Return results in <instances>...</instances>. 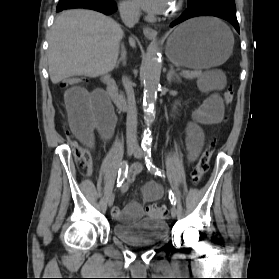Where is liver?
I'll return each mask as SVG.
<instances>
[{
  "label": "liver",
  "mask_w": 279,
  "mask_h": 279,
  "mask_svg": "<svg viewBox=\"0 0 279 279\" xmlns=\"http://www.w3.org/2000/svg\"><path fill=\"white\" fill-rule=\"evenodd\" d=\"M123 31L112 18L92 10L62 12L55 20L48 48L49 75L53 84L74 77L90 78L116 66ZM135 47L134 40H130Z\"/></svg>",
  "instance_id": "6515ba94"
}]
</instances>
